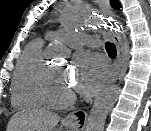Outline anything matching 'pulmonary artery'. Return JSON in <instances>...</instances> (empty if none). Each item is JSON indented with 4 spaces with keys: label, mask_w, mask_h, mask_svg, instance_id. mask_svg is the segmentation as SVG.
Here are the masks:
<instances>
[{
    "label": "pulmonary artery",
    "mask_w": 151,
    "mask_h": 131,
    "mask_svg": "<svg viewBox=\"0 0 151 131\" xmlns=\"http://www.w3.org/2000/svg\"><path fill=\"white\" fill-rule=\"evenodd\" d=\"M56 36L61 37L66 44L72 47H78L85 44H94V40L80 32L70 31V30H58L48 32L46 37L52 39Z\"/></svg>",
    "instance_id": "pulmonary-artery-1"
}]
</instances>
